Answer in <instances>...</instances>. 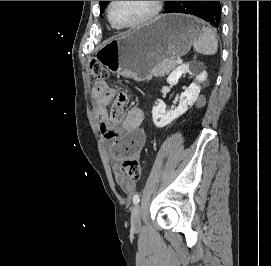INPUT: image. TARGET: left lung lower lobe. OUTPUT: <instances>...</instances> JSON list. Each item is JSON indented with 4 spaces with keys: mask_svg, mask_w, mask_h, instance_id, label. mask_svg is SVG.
<instances>
[{
    "mask_svg": "<svg viewBox=\"0 0 271 266\" xmlns=\"http://www.w3.org/2000/svg\"><path fill=\"white\" fill-rule=\"evenodd\" d=\"M172 12L191 14L209 22L217 30L220 27V1H169L164 13Z\"/></svg>",
    "mask_w": 271,
    "mask_h": 266,
    "instance_id": "obj_1",
    "label": "left lung lower lobe"
}]
</instances>
